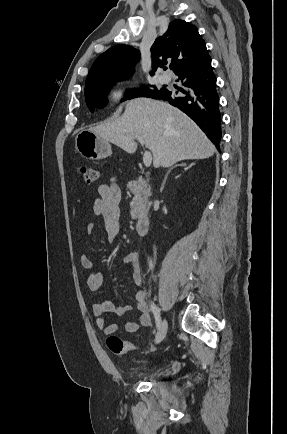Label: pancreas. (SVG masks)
Wrapping results in <instances>:
<instances>
[{
    "mask_svg": "<svg viewBox=\"0 0 287 434\" xmlns=\"http://www.w3.org/2000/svg\"><path fill=\"white\" fill-rule=\"evenodd\" d=\"M127 188L134 194L133 200L130 203V214L133 219H137L146 215L150 208L148 200L149 189L147 182L140 177L136 181L128 183Z\"/></svg>",
    "mask_w": 287,
    "mask_h": 434,
    "instance_id": "pancreas-1",
    "label": "pancreas"
}]
</instances>
